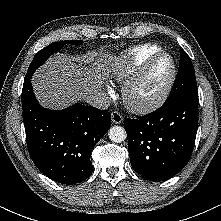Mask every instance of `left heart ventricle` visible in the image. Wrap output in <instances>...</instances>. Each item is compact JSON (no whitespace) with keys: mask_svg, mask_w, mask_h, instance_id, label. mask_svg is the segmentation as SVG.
Wrapping results in <instances>:
<instances>
[{"mask_svg":"<svg viewBox=\"0 0 221 221\" xmlns=\"http://www.w3.org/2000/svg\"><path fill=\"white\" fill-rule=\"evenodd\" d=\"M172 69L169 57L158 59L131 93L132 100L144 102L155 97L166 84Z\"/></svg>","mask_w":221,"mask_h":221,"instance_id":"left-heart-ventricle-1","label":"left heart ventricle"}]
</instances>
